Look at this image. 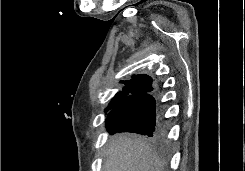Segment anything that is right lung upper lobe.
<instances>
[{
	"label": "right lung upper lobe",
	"instance_id": "right-lung-upper-lobe-1",
	"mask_svg": "<svg viewBox=\"0 0 245 171\" xmlns=\"http://www.w3.org/2000/svg\"><path fill=\"white\" fill-rule=\"evenodd\" d=\"M152 82V78L147 75H133L131 80L121 81L125 85L123 91L114 96L110 105L116 106L121 101H128L153 92L157 87L153 86Z\"/></svg>",
	"mask_w": 245,
	"mask_h": 171
}]
</instances>
